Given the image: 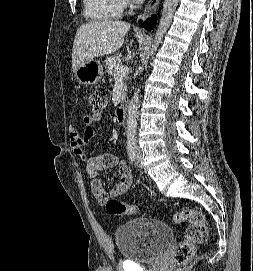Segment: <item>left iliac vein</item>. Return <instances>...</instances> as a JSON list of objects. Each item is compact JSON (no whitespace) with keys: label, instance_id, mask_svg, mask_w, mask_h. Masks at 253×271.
I'll list each match as a JSON object with an SVG mask.
<instances>
[{"label":"left iliac vein","instance_id":"left-iliac-vein-1","mask_svg":"<svg viewBox=\"0 0 253 271\" xmlns=\"http://www.w3.org/2000/svg\"><path fill=\"white\" fill-rule=\"evenodd\" d=\"M136 152H137V160H136V165L138 168H142V152L141 149L139 147L136 148Z\"/></svg>","mask_w":253,"mask_h":271}]
</instances>
